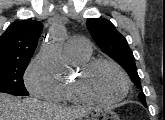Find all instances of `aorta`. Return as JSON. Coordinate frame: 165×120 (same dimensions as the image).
<instances>
[{
  "mask_svg": "<svg viewBox=\"0 0 165 120\" xmlns=\"http://www.w3.org/2000/svg\"><path fill=\"white\" fill-rule=\"evenodd\" d=\"M64 28L61 22H57L49 39L40 50V56L55 74H61L65 70L66 63L62 57V38Z\"/></svg>",
  "mask_w": 165,
  "mask_h": 120,
  "instance_id": "obj_1",
  "label": "aorta"
}]
</instances>
